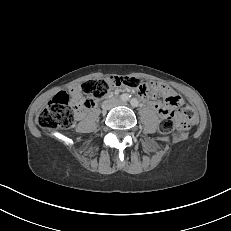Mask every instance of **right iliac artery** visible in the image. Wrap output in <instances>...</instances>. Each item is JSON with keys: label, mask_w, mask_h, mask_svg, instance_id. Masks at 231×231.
I'll return each mask as SVG.
<instances>
[{"label": "right iliac artery", "mask_w": 231, "mask_h": 231, "mask_svg": "<svg viewBox=\"0 0 231 231\" xmlns=\"http://www.w3.org/2000/svg\"><path fill=\"white\" fill-rule=\"evenodd\" d=\"M129 98H130V95H128V94H122V95L120 96V99H121L122 101H128Z\"/></svg>", "instance_id": "82829eb1"}]
</instances>
